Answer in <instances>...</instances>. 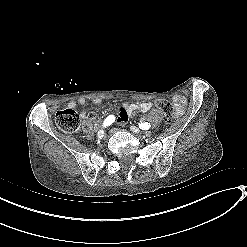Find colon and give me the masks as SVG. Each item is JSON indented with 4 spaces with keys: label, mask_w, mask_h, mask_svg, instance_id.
Masks as SVG:
<instances>
[{
    "label": "colon",
    "mask_w": 247,
    "mask_h": 247,
    "mask_svg": "<svg viewBox=\"0 0 247 247\" xmlns=\"http://www.w3.org/2000/svg\"><path fill=\"white\" fill-rule=\"evenodd\" d=\"M156 106L163 113L167 121L174 119V106L170 102L159 100ZM55 116L58 126L65 132L72 133L77 131L80 127V116L78 112L73 109L65 108L58 110Z\"/></svg>",
    "instance_id": "obj_1"
}]
</instances>
